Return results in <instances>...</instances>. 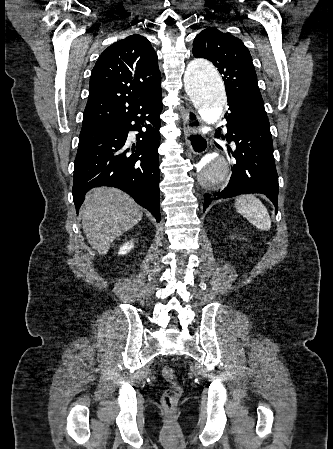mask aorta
<instances>
[{"label":"aorta","mask_w":333,"mask_h":449,"mask_svg":"<svg viewBox=\"0 0 333 449\" xmlns=\"http://www.w3.org/2000/svg\"><path fill=\"white\" fill-rule=\"evenodd\" d=\"M184 88L202 118L216 119L226 104L222 79L208 60L193 59L184 73ZM230 172L229 159L220 152L208 153L194 165L192 178L195 185L207 192L226 186Z\"/></svg>","instance_id":"aorta-1"}]
</instances>
